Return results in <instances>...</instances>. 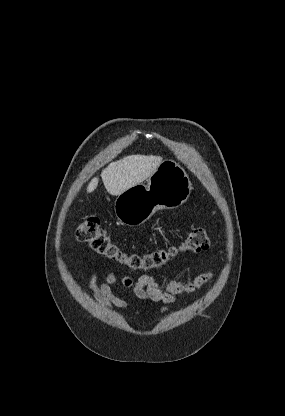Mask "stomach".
I'll use <instances>...</instances> for the list:
<instances>
[{
  "mask_svg": "<svg viewBox=\"0 0 285 416\" xmlns=\"http://www.w3.org/2000/svg\"><path fill=\"white\" fill-rule=\"evenodd\" d=\"M192 184L185 170L174 160H164L147 184H137L117 196L114 204L117 220L126 226H141L157 210L182 206L191 194Z\"/></svg>",
  "mask_w": 285,
  "mask_h": 416,
  "instance_id": "1",
  "label": "stomach"
}]
</instances>
